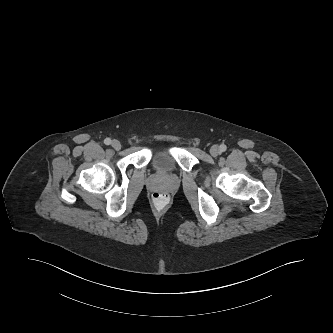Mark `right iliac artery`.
Segmentation results:
<instances>
[{"mask_svg": "<svg viewBox=\"0 0 333 333\" xmlns=\"http://www.w3.org/2000/svg\"><path fill=\"white\" fill-rule=\"evenodd\" d=\"M104 143H105L106 145H110V144H111V139H110V138H106V139L104 140Z\"/></svg>", "mask_w": 333, "mask_h": 333, "instance_id": "right-iliac-artery-1", "label": "right iliac artery"}]
</instances>
